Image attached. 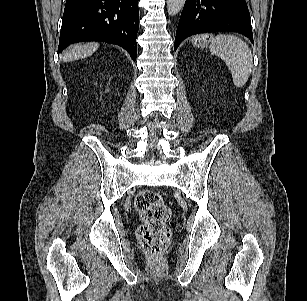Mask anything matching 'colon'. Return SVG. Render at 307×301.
I'll return each instance as SVG.
<instances>
[{"label": "colon", "mask_w": 307, "mask_h": 301, "mask_svg": "<svg viewBox=\"0 0 307 301\" xmlns=\"http://www.w3.org/2000/svg\"><path fill=\"white\" fill-rule=\"evenodd\" d=\"M142 224L136 234L143 249L151 255L161 254L171 239V229L168 222L171 210L161 195L150 189L140 191L134 201Z\"/></svg>", "instance_id": "obj_1"}]
</instances>
